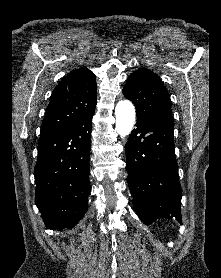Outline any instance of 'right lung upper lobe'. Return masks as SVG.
Instances as JSON below:
<instances>
[{
  "label": "right lung upper lobe",
  "mask_w": 221,
  "mask_h": 278,
  "mask_svg": "<svg viewBox=\"0 0 221 278\" xmlns=\"http://www.w3.org/2000/svg\"><path fill=\"white\" fill-rule=\"evenodd\" d=\"M96 101L97 84L89 69L82 67L63 77L47 107L39 143L94 112Z\"/></svg>",
  "instance_id": "right-lung-upper-lobe-1"
}]
</instances>
